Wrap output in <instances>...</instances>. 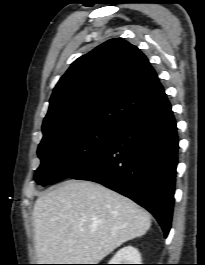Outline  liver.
<instances>
[{"label": "liver", "instance_id": "liver-1", "mask_svg": "<svg viewBox=\"0 0 205 265\" xmlns=\"http://www.w3.org/2000/svg\"><path fill=\"white\" fill-rule=\"evenodd\" d=\"M33 224L40 264H97L124 242L144 235L151 220L117 192L68 180L36 200Z\"/></svg>", "mask_w": 205, "mask_h": 265}]
</instances>
